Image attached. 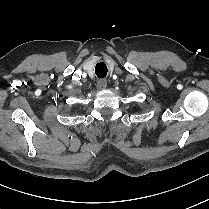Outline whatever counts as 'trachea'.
I'll use <instances>...</instances> for the list:
<instances>
[{"label":"trachea","instance_id":"3493384b","mask_svg":"<svg viewBox=\"0 0 209 209\" xmlns=\"http://www.w3.org/2000/svg\"><path fill=\"white\" fill-rule=\"evenodd\" d=\"M107 66L104 62L97 63L95 67V73L98 78H104L107 75Z\"/></svg>","mask_w":209,"mask_h":209}]
</instances>
